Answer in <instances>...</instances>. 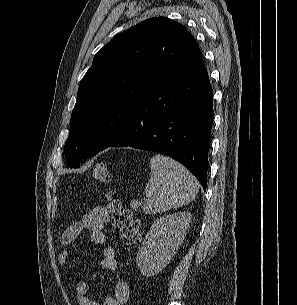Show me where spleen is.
<instances>
[{
  "mask_svg": "<svg viewBox=\"0 0 297 305\" xmlns=\"http://www.w3.org/2000/svg\"><path fill=\"white\" fill-rule=\"evenodd\" d=\"M150 168L151 177L145 187L148 198L143 208L146 213H162L194 200L198 182L180 163L157 154L150 159Z\"/></svg>",
  "mask_w": 297,
  "mask_h": 305,
  "instance_id": "1",
  "label": "spleen"
}]
</instances>
